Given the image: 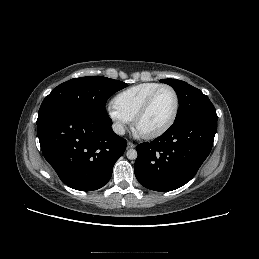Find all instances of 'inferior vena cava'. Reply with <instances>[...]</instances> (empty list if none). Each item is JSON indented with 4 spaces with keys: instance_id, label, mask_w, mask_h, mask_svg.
<instances>
[{
    "instance_id": "obj_1",
    "label": "inferior vena cava",
    "mask_w": 259,
    "mask_h": 259,
    "mask_svg": "<svg viewBox=\"0 0 259 259\" xmlns=\"http://www.w3.org/2000/svg\"><path fill=\"white\" fill-rule=\"evenodd\" d=\"M112 129H113L114 133H116L118 135H124L125 134V129H124L123 125L120 124V123H114L112 125Z\"/></svg>"
}]
</instances>
